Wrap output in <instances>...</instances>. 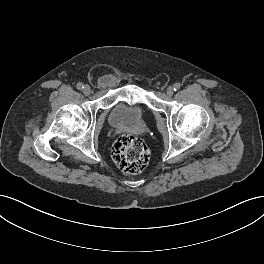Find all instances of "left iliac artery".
I'll list each match as a JSON object with an SVG mask.
<instances>
[{"instance_id": "44dca946", "label": "left iliac artery", "mask_w": 264, "mask_h": 264, "mask_svg": "<svg viewBox=\"0 0 264 264\" xmlns=\"http://www.w3.org/2000/svg\"><path fill=\"white\" fill-rule=\"evenodd\" d=\"M180 89V84L179 83H175L174 85H173V90L174 91H178Z\"/></svg>"}]
</instances>
